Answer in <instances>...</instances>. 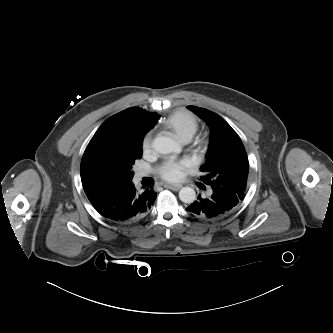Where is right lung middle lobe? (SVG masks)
I'll return each instance as SVG.
<instances>
[{"label": "right lung middle lobe", "mask_w": 333, "mask_h": 333, "mask_svg": "<svg viewBox=\"0 0 333 333\" xmlns=\"http://www.w3.org/2000/svg\"><path fill=\"white\" fill-rule=\"evenodd\" d=\"M113 121L99 134L95 133L81 161L82 185L130 182L132 165L142 157L144 134L135 127L117 125Z\"/></svg>", "instance_id": "1"}]
</instances>
